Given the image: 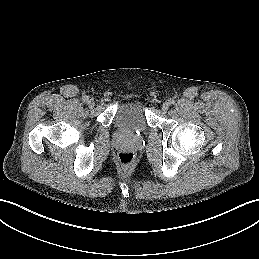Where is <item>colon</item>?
Masks as SVG:
<instances>
[{
	"label": "colon",
	"instance_id": "1",
	"mask_svg": "<svg viewBox=\"0 0 259 259\" xmlns=\"http://www.w3.org/2000/svg\"><path fill=\"white\" fill-rule=\"evenodd\" d=\"M118 162L122 168L128 169L135 163V154L130 151H122L117 155Z\"/></svg>",
	"mask_w": 259,
	"mask_h": 259
}]
</instances>
